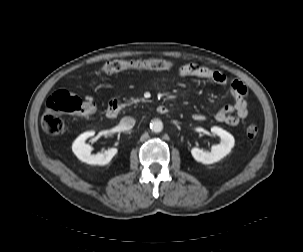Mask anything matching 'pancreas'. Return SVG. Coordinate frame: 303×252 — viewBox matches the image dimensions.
<instances>
[{"instance_id": "cf45deb5", "label": "pancreas", "mask_w": 303, "mask_h": 252, "mask_svg": "<svg viewBox=\"0 0 303 252\" xmlns=\"http://www.w3.org/2000/svg\"><path fill=\"white\" fill-rule=\"evenodd\" d=\"M140 101H141V99L131 98L130 101L126 105L130 106V105L136 104V103H138Z\"/></svg>"}]
</instances>
